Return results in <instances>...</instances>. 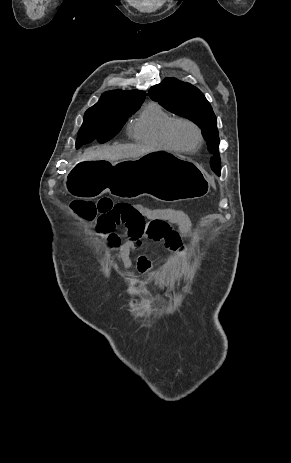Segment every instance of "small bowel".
Listing matches in <instances>:
<instances>
[{"instance_id":"obj_1","label":"small bowel","mask_w":291,"mask_h":463,"mask_svg":"<svg viewBox=\"0 0 291 463\" xmlns=\"http://www.w3.org/2000/svg\"><path fill=\"white\" fill-rule=\"evenodd\" d=\"M124 223L127 234L125 241L114 229H103L102 233L95 235L96 240L104 241L107 250L116 254L117 260L124 268H130L133 265L131 253L142 247L144 238L164 241L176 255L180 257L186 255V247L182 237L190 234L191 223L184 212L171 208H144L131 205V211L127 214ZM171 224L177 225L179 231L172 229ZM136 265L139 272L144 275L162 276L159 271L152 267L145 254L138 255Z\"/></svg>"}]
</instances>
